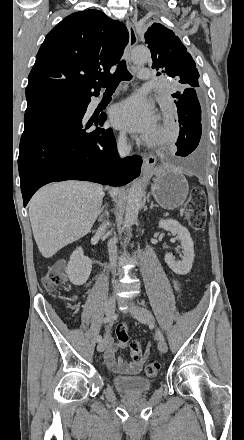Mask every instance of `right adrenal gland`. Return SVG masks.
Returning <instances> with one entry per match:
<instances>
[{"mask_svg":"<svg viewBox=\"0 0 244 440\" xmlns=\"http://www.w3.org/2000/svg\"><path fill=\"white\" fill-rule=\"evenodd\" d=\"M102 212H104L102 218H104V216H108V212L107 210H105V206H102L99 214H97V216H101ZM98 222H105V220H98Z\"/></svg>","mask_w":244,"mask_h":440,"instance_id":"right-adrenal-gland-1","label":"right adrenal gland"}]
</instances>
